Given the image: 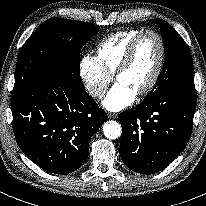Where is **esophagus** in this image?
<instances>
[{
	"label": "esophagus",
	"instance_id": "34e87169",
	"mask_svg": "<svg viewBox=\"0 0 206 206\" xmlns=\"http://www.w3.org/2000/svg\"><path fill=\"white\" fill-rule=\"evenodd\" d=\"M108 117L115 119V118H118V114L117 113H108Z\"/></svg>",
	"mask_w": 206,
	"mask_h": 206
}]
</instances>
